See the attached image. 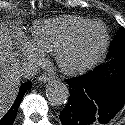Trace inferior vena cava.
Returning <instances> with one entry per match:
<instances>
[{
	"label": "inferior vena cava",
	"mask_w": 125,
	"mask_h": 125,
	"mask_svg": "<svg viewBox=\"0 0 125 125\" xmlns=\"http://www.w3.org/2000/svg\"><path fill=\"white\" fill-rule=\"evenodd\" d=\"M20 73L25 78H31L37 73V65L36 64H28L23 65L20 69Z\"/></svg>",
	"instance_id": "inferior-vena-cava-1"
}]
</instances>
